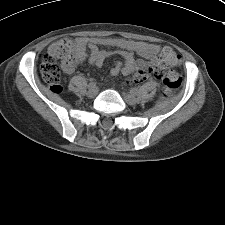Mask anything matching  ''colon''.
Segmentation results:
<instances>
[{
	"mask_svg": "<svg viewBox=\"0 0 225 225\" xmlns=\"http://www.w3.org/2000/svg\"><path fill=\"white\" fill-rule=\"evenodd\" d=\"M75 62L76 53L70 39L59 40L43 56L40 67L41 75L53 92H60L62 89L61 68ZM179 62V55L172 49L166 48L162 51L157 64L147 62L139 64L128 83H142L150 76H154L162 81V95L164 98H168L177 92L182 84L180 75L171 70Z\"/></svg>",
	"mask_w": 225,
	"mask_h": 225,
	"instance_id": "5ec220e1",
	"label": "colon"
}]
</instances>
